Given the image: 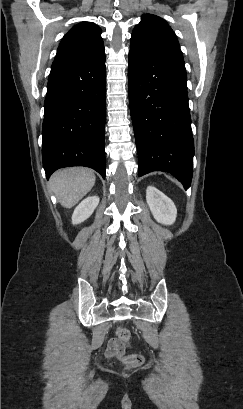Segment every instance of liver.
Segmentation results:
<instances>
[{
	"mask_svg": "<svg viewBox=\"0 0 243 409\" xmlns=\"http://www.w3.org/2000/svg\"><path fill=\"white\" fill-rule=\"evenodd\" d=\"M95 174L85 167H71L56 171L50 178V185L60 204L71 208L94 186Z\"/></svg>",
	"mask_w": 243,
	"mask_h": 409,
	"instance_id": "liver-1",
	"label": "liver"
}]
</instances>
